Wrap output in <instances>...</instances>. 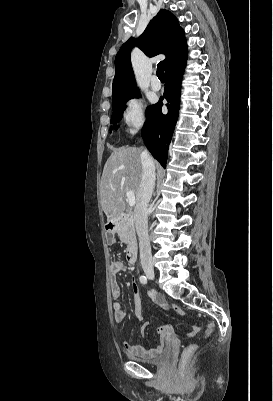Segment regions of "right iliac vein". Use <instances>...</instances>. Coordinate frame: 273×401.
Here are the masks:
<instances>
[{
	"label": "right iliac vein",
	"instance_id": "right-iliac-vein-1",
	"mask_svg": "<svg viewBox=\"0 0 273 401\" xmlns=\"http://www.w3.org/2000/svg\"><path fill=\"white\" fill-rule=\"evenodd\" d=\"M143 271L145 272L146 276L153 280L154 279V268L150 264L143 265Z\"/></svg>",
	"mask_w": 273,
	"mask_h": 401
}]
</instances>
